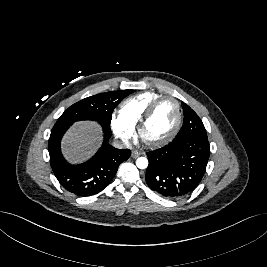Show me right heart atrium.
I'll return each mask as SVG.
<instances>
[{
	"label": "right heart atrium",
	"mask_w": 267,
	"mask_h": 267,
	"mask_svg": "<svg viewBox=\"0 0 267 267\" xmlns=\"http://www.w3.org/2000/svg\"><path fill=\"white\" fill-rule=\"evenodd\" d=\"M111 126L114 134L124 142H127L133 135L134 128L122 118L120 113L112 114Z\"/></svg>",
	"instance_id": "obj_1"
}]
</instances>
